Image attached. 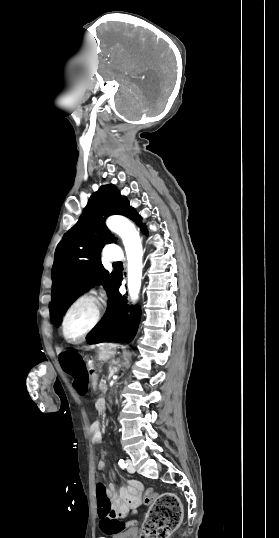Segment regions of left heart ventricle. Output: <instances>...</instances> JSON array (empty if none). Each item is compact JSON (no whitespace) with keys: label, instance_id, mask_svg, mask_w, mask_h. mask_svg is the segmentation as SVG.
Returning <instances> with one entry per match:
<instances>
[{"label":"left heart ventricle","instance_id":"left-heart-ventricle-1","mask_svg":"<svg viewBox=\"0 0 279 538\" xmlns=\"http://www.w3.org/2000/svg\"><path fill=\"white\" fill-rule=\"evenodd\" d=\"M93 307L85 304L77 308L69 319L66 333L69 337H75L81 333L91 321Z\"/></svg>","mask_w":279,"mask_h":538}]
</instances>
